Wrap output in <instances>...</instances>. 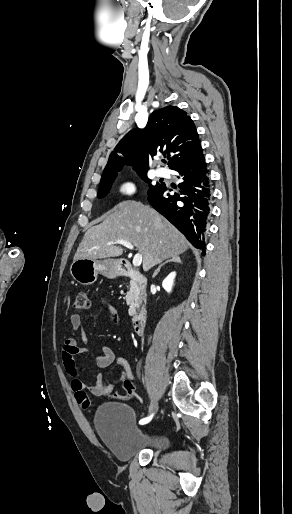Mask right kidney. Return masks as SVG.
<instances>
[{
    "label": "right kidney",
    "instance_id": "1",
    "mask_svg": "<svg viewBox=\"0 0 292 514\" xmlns=\"http://www.w3.org/2000/svg\"><path fill=\"white\" fill-rule=\"evenodd\" d=\"M175 276L176 272H171V274H169V276L163 280L162 286L166 292H171Z\"/></svg>",
    "mask_w": 292,
    "mask_h": 514
}]
</instances>
